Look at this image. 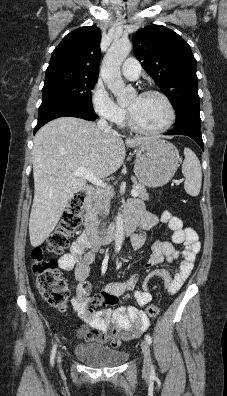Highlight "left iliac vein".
<instances>
[{
    "label": "left iliac vein",
    "mask_w": 227,
    "mask_h": 396,
    "mask_svg": "<svg viewBox=\"0 0 227 396\" xmlns=\"http://www.w3.org/2000/svg\"><path fill=\"white\" fill-rule=\"evenodd\" d=\"M141 349L143 352V371L145 373H149L151 369V354H150V348L147 343V341H142L141 342Z\"/></svg>",
    "instance_id": "obj_1"
}]
</instances>
